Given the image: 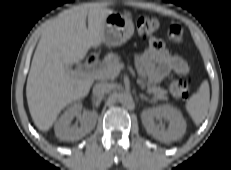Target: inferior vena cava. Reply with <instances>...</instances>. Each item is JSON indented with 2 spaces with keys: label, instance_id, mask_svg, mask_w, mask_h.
Returning a JSON list of instances; mask_svg holds the SVG:
<instances>
[{
  "label": "inferior vena cava",
  "instance_id": "inferior-vena-cava-1",
  "mask_svg": "<svg viewBox=\"0 0 231 170\" xmlns=\"http://www.w3.org/2000/svg\"><path fill=\"white\" fill-rule=\"evenodd\" d=\"M111 90V85L108 83H97L93 87V94L96 96H102L109 93Z\"/></svg>",
  "mask_w": 231,
  "mask_h": 170
}]
</instances>
